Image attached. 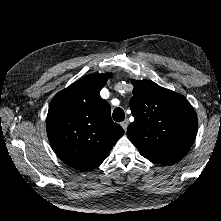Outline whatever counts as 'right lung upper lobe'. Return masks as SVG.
Wrapping results in <instances>:
<instances>
[{
	"instance_id": "cb5924a9",
	"label": "right lung upper lobe",
	"mask_w": 221,
	"mask_h": 221,
	"mask_svg": "<svg viewBox=\"0 0 221 221\" xmlns=\"http://www.w3.org/2000/svg\"><path fill=\"white\" fill-rule=\"evenodd\" d=\"M111 74L79 79L52 99L47 135L58 157L82 171L98 167L124 134L111 119V106L99 95Z\"/></svg>"
}]
</instances>
